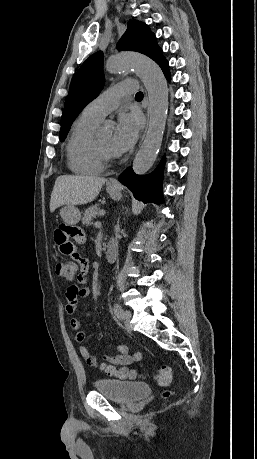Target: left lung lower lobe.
Instances as JSON below:
<instances>
[{
	"label": "left lung lower lobe",
	"mask_w": 257,
	"mask_h": 459,
	"mask_svg": "<svg viewBox=\"0 0 257 459\" xmlns=\"http://www.w3.org/2000/svg\"><path fill=\"white\" fill-rule=\"evenodd\" d=\"M158 65L161 67L166 78L170 80L169 64L163 58ZM164 166V159L160 162L158 168L148 176L136 175L131 168H127L118 178V180L127 186L134 194L135 198L145 203L154 202L160 204L163 202L161 179Z\"/></svg>",
	"instance_id": "obj_1"
}]
</instances>
